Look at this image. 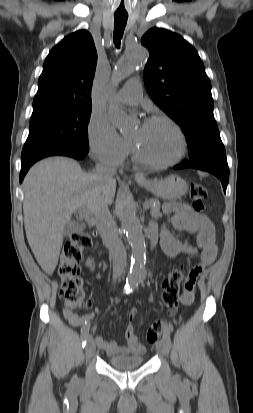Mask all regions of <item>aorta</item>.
I'll return each instance as SVG.
<instances>
[{"label": "aorta", "instance_id": "1", "mask_svg": "<svg viewBox=\"0 0 253 413\" xmlns=\"http://www.w3.org/2000/svg\"><path fill=\"white\" fill-rule=\"evenodd\" d=\"M145 56L146 50L141 45H137L128 50L126 55L115 65L112 76L106 84L107 93H113L120 82L132 73L138 63L145 59ZM107 114L113 124L120 130L125 131L131 127V122L127 113L116 103H108ZM118 213L122 229L126 234V238L132 249L131 267L126 280V288L134 289L142 280H144L146 274L145 238L142 225L136 216L133 205L129 201L122 200L119 202Z\"/></svg>", "mask_w": 253, "mask_h": 413}]
</instances>
